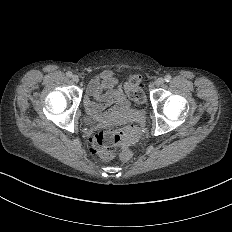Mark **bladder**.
<instances>
[{
  "instance_id": "1",
  "label": "bladder",
  "mask_w": 232,
  "mask_h": 232,
  "mask_svg": "<svg viewBox=\"0 0 232 232\" xmlns=\"http://www.w3.org/2000/svg\"><path fill=\"white\" fill-rule=\"evenodd\" d=\"M93 120H94V118L91 117V116H85V117H84L85 123H91Z\"/></svg>"
}]
</instances>
